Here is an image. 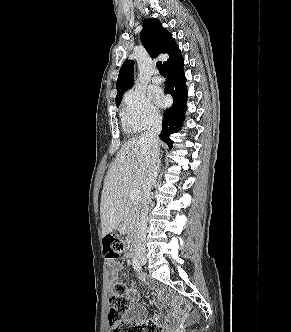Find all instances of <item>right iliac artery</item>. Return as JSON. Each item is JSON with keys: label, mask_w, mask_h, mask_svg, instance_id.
Returning <instances> with one entry per match:
<instances>
[{"label": "right iliac artery", "mask_w": 291, "mask_h": 332, "mask_svg": "<svg viewBox=\"0 0 291 332\" xmlns=\"http://www.w3.org/2000/svg\"><path fill=\"white\" fill-rule=\"evenodd\" d=\"M132 264H133V267L136 271L140 272L142 270L141 264L139 263V261L137 259L134 258L133 261H132Z\"/></svg>", "instance_id": "1"}]
</instances>
